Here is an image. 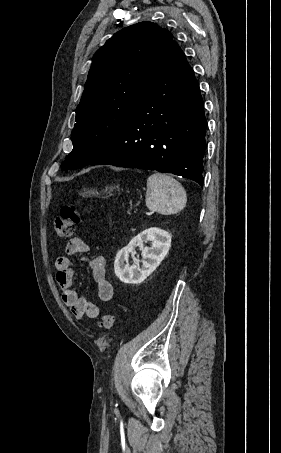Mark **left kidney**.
Wrapping results in <instances>:
<instances>
[{
	"label": "left kidney",
	"instance_id": "5707ae66",
	"mask_svg": "<svg viewBox=\"0 0 281 453\" xmlns=\"http://www.w3.org/2000/svg\"><path fill=\"white\" fill-rule=\"evenodd\" d=\"M148 241H151L152 247H144L142 249V267L125 265V263H128L130 253H135V247H142L143 243H148ZM171 241L170 233L157 229V227H151V229H146L143 233H139L137 237L130 241L127 247H123L121 251H118L114 261L116 277L122 283L140 285V283L145 281L146 277H149L157 269L158 265L166 257L171 247Z\"/></svg>",
	"mask_w": 281,
	"mask_h": 453
}]
</instances>
